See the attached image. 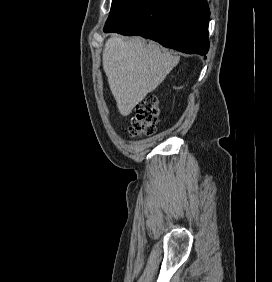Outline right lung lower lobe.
I'll return each instance as SVG.
<instances>
[{
    "instance_id": "98d812e1",
    "label": "right lung lower lobe",
    "mask_w": 272,
    "mask_h": 282,
    "mask_svg": "<svg viewBox=\"0 0 272 282\" xmlns=\"http://www.w3.org/2000/svg\"><path fill=\"white\" fill-rule=\"evenodd\" d=\"M209 16L206 0H138L104 27V32L140 35L165 47L204 56L209 48Z\"/></svg>"
}]
</instances>
